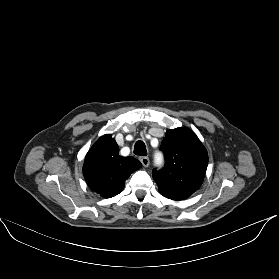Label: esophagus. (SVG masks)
I'll list each match as a JSON object with an SVG mask.
<instances>
[{
	"label": "esophagus",
	"instance_id": "obj_1",
	"mask_svg": "<svg viewBox=\"0 0 279 279\" xmlns=\"http://www.w3.org/2000/svg\"><path fill=\"white\" fill-rule=\"evenodd\" d=\"M140 161H141V163H142V165L144 166V167H148L149 166V163H150V161H149V158L148 157H141L140 158Z\"/></svg>",
	"mask_w": 279,
	"mask_h": 279
}]
</instances>
